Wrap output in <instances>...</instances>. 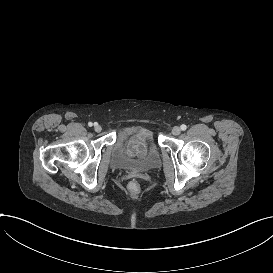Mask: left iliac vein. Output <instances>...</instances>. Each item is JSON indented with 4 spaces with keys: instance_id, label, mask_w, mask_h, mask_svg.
Masks as SVG:
<instances>
[{
    "instance_id": "obj_1",
    "label": "left iliac vein",
    "mask_w": 273,
    "mask_h": 273,
    "mask_svg": "<svg viewBox=\"0 0 273 273\" xmlns=\"http://www.w3.org/2000/svg\"><path fill=\"white\" fill-rule=\"evenodd\" d=\"M180 132H181V129L178 126L173 127V129H172L173 135L177 136L180 134Z\"/></svg>"
}]
</instances>
